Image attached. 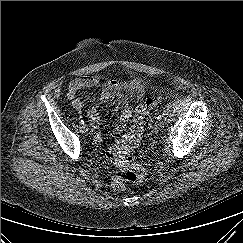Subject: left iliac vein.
Listing matches in <instances>:
<instances>
[{
    "mask_svg": "<svg viewBox=\"0 0 243 243\" xmlns=\"http://www.w3.org/2000/svg\"><path fill=\"white\" fill-rule=\"evenodd\" d=\"M155 127H156V129H161L162 121L161 120H157V122L155 123Z\"/></svg>",
    "mask_w": 243,
    "mask_h": 243,
    "instance_id": "4c4485c4",
    "label": "left iliac vein"
}]
</instances>
